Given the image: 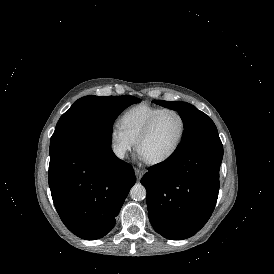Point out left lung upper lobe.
Masks as SVG:
<instances>
[{"label": "left lung upper lobe", "instance_id": "5c2ea615", "mask_svg": "<svg viewBox=\"0 0 274 274\" xmlns=\"http://www.w3.org/2000/svg\"><path fill=\"white\" fill-rule=\"evenodd\" d=\"M154 102L177 111L184 124L182 141L172 156H178L204 144L221 143L214 122L193 105L180 101L154 100Z\"/></svg>", "mask_w": 274, "mask_h": 274}]
</instances>
